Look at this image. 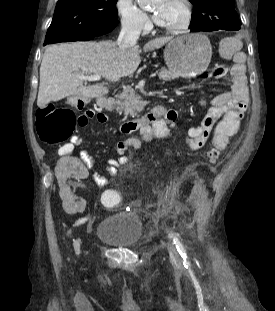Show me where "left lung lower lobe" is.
<instances>
[{"label":"left lung lower lobe","mask_w":275,"mask_h":311,"mask_svg":"<svg viewBox=\"0 0 275 311\" xmlns=\"http://www.w3.org/2000/svg\"><path fill=\"white\" fill-rule=\"evenodd\" d=\"M221 29L218 28H191V31L199 32V31H218Z\"/></svg>","instance_id":"left-lung-lower-lobe-1"}]
</instances>
